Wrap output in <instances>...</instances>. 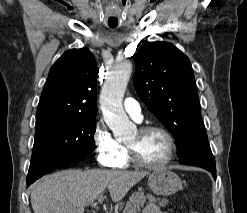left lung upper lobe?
<instances>
[{"mask_svg":"<svg viewBox=\"0 0 247 213\" xmlns=\"http://www.w3.org/2000/svg\"><path fill=\"white\" fill-rule=\"evenodd\" d=\"M134 87L148 109L176 139L184 157L208 139L189 58L168 42H145L135 55Z\"/></svg>","mask_w":247,"mask_h":213,"instance_id":"obj_1","label":"left lung upper lobe"}]
</instances>
